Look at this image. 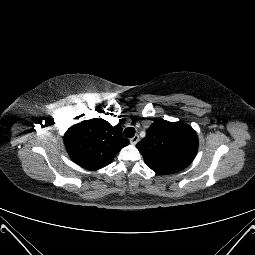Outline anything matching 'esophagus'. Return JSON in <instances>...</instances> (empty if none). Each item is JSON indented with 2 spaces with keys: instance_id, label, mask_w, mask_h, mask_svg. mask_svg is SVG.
Masks as SVG:
<instances>
[{
  "instance_id": "obj_1",
  "label": "esophagus",
  "mask_w": 255,
  "mask_h": 255,
  "mask_svg": "<svg viewBox=\"0 0 255 255\" xmlns=\"http://www.w3.org/2000/svg\"><path fill=\"white\" fill-rule=\"evenodd\" d=\"M138 141H139V136H138V135H135L134 137H132V138L130 139V143H131L132 145H136Z\"/></svg>"
}]
</instances>
